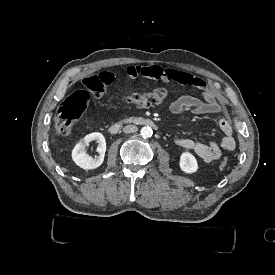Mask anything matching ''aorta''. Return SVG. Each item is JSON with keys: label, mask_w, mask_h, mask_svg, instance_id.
Here are the masks:
<instances>
[{"label": "aorta", "mask_w": 275, "mask_h": 275, "mask_svg": "<svg viewBox=\"0 0 275 275\" xmlns=\"http://www.w3.org/2000/svg\"><path fill=\"white\" fill-rule=\"evenodd\" d=\"M153 134L152 128L149 126H145L141 128L140 136L144 139L150 138Z\"/></svg>", "instance_id": "762f6f07"}]
</instances>
